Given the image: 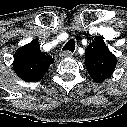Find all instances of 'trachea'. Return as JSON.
Returning a JSON list of instances; mask_svg holds the SVG:
<instances>
[{"instance_id": "trachea-1", "label": "trachea", "mask_w": 127, "mask_h": 127, "mask_svg": "<svg viewBox=\"0 0 127 127\" xmlns=\"http://www.w3.org/2000/svg\"><path fill=\"white\" fill-rule=\"evenodd\" d=\"M63 50H68L70 52H74L75 50V40L70 39L63 47Z\"/></svg>"}]
</instances>
